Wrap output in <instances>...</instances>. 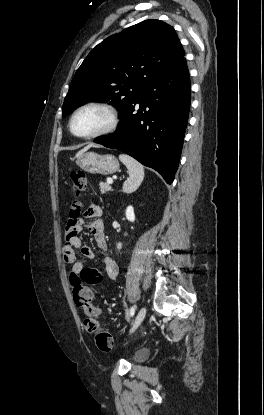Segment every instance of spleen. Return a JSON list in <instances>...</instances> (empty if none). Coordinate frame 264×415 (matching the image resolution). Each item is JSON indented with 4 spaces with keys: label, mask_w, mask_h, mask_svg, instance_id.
I'll list each match as a JSON object with an SVG mask.
<instances>
[{
    "label": "spleen",
    "mask_w": 264,
    "mask_h": 415,
    "mask_svg": "<svg viewBox=\"0 0 264 415\" xmlns=\"http://www.w3.org/2000/svg\"><path fill=\"white\" fill-rule=\"evenodd\" d=\"M119 159L127 167L129 173V177L123 183V191L125 193H132L138 189L144 179V167L134 158L126 154H120Z\"/></svg>",
    "instance_id": "3e777b00"
}]
</instances>
